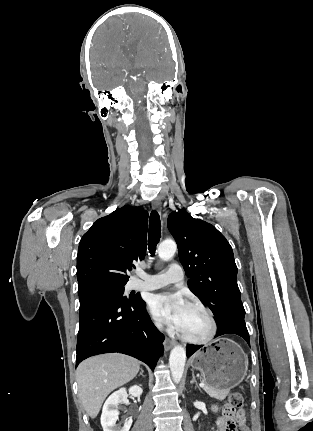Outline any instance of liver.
Listing matches in <instances>:
<instances>
[{"label":"liver","mask_w":313,"mask_h":431,"mask_svg":"<svg viewBox=\"0 0 313 431\" xmlns=\"http://www.w3.org/2000/svg\"><path fill=\"white\" fill-rule=\"evenodd\" d=\"M139 369L138 360L122 354H103L80 363L76 375L86 413L95 418L108 394L131 381Z\"/></svg>","instance_id":"obj_1"}]
</instances>
